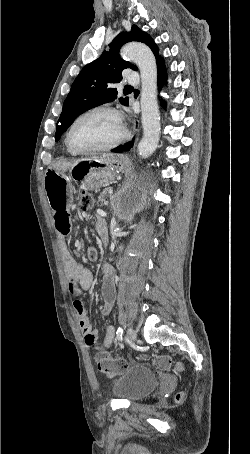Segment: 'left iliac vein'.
Masks as SVG:
<instances>
[{
  "instance_id": "left-iliac-vein-1",
  "label": "left iliac vein",
  "mask_w": 250,
  "mask_h": 454,
  "mask_svg": "<svg viewBox=\"0 0 250 454\" xmlns=\"http://www.w3.org/2000/svg\"><path fill=\"white\" fill-rule=\"evenodd\" d=\"M127 335H128V338H129V340L131 342H134L136 340V338H137V333L132 328H128Z\"/></svg>"
}]
</instances>
